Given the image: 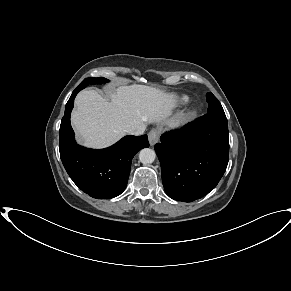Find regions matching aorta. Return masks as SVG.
<instances>
[{
	"mask_svg": "<svg viewBox=\"0 0 291 291\" xmlns=\"http://www.w3.org/2000/svg\"><path fill=\"white\" fill-rule=\"evenodd\" d=\"M156 158V153L150 148H144L139 153V160L143 164H151Z\"/></svg>",
	"mask_w": 291,
	"mask_h": 291,
	"instance_id": "obj_1",
	"label": "aorta"
}]
</instances>
